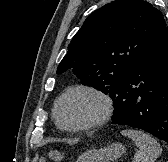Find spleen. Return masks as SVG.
Returning <instances> with one entry per match:
<instances>
[{
    "mask_svg": "<svg viewBox=\"0 0 168 162\" xmlns=\"http://www.w3.org/2000/svg\"><path fill=\"white\" fill-rule=\"evenodd\" d=\"M123 136L132 139L139 151L134 156L133 162H155L161 155L160 144L150 135L136 129H125L121 132Z\"/></svg>",
    "mask_w": 168,
    "mask_h": 162,
    "instance_id": "1",
    "label": "spleen"
}]
</instances>
